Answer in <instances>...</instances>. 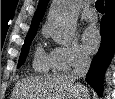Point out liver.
I'll list each match as a JSON object with an SVG mask.
<instances>
[{
  "label": "liver",
  "instance_id": "liver-1",
  "mask_svg": "<svg viewBox=\"0 0 115 99\" xmlns=\"http://www.w3.org/2000/svg\"><path fill=\"white\" fill-rule=\"evenodd\" d=\"M83 88L69 74L32 77L16 83L12 99H89Z\"/></svg>",
  "mask_w": 115,
  "mask_h": 99
}]
</instances>
